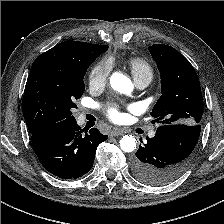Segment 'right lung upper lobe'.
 <instances>
[{
    "label": "right lung upper lobe",
    "mask_w": 224,
    "mask_h": 224,
    "mask_svg": "<svg viewBox=\"0 0 224 224\" xmlns=\"http://www.w3.org/2000/svg\"><path fill=\"white\" fill-rule=\"evenodd\" d=\"M107 46L79 41H65L36 58L32 67L45 64L70 65L96 59Z\"/></svg>",
    "instance_id": "right-lung-upper-lobe-1"
}]
</instances>
